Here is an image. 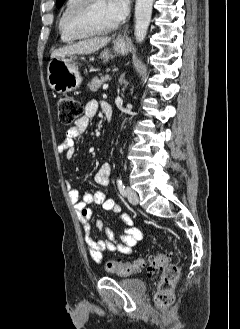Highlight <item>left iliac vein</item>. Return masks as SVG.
Wrapping results in <instances>:
<instances>
[{
    "label": "left iliac vein",
    "mask_w": 240,
    "mask_h": 329,
    "mask_svg": "<svg viewBox=\"0 0 240 329\" xmlns=\"http://www.w3.org/2000/svg\"><path fill=\"white\" fill-rule=\"evenodd\" d=\"M127 198L128 201L133 205H137L139 202L137 193L130 187L127 188Z\"/></svg>",
    "instance_id": "4c4485c4"
}]
</instances>
